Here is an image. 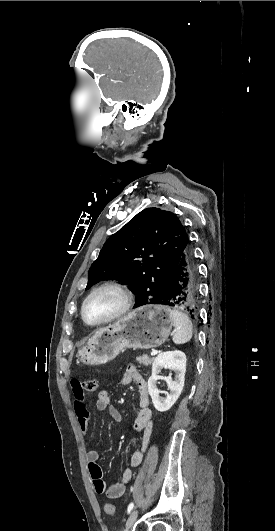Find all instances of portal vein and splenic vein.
I'll use <instances>...</instances> for the list:
<instances>
[{"mask_svg":"<svg viewBox=\"0 0 275 531\" xmlns=\"http://www.w3.org/2000/svg\"><path fill=\"white\" fill-rule=\"evenodd\" d=\"M151 355L156 356L157 355V350H153V353H151Z\"/></svg>","mask_w":275,"mask_h":531,"instance_id":"obj_1","label":"portal vein and splenic vein"}]
</instances>
